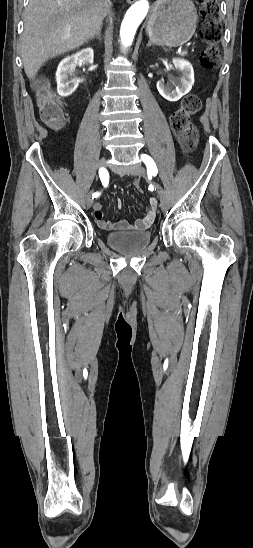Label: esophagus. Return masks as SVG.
<instances>
[{
    "instance_id": "obj_1",
    "label": "esophagus",
    "mask_w": 253,
    "mask_h": 548,
    "mask_svg": "<svg viewBox=\"0 0 253 548\" xmlns=\"http://www.w3.org/2000/svg\"><path fill=\"white\" fill-rule=\"evenodd\" d=\"M136 0H127L128 3H134Z\"/></svg>"
}]
</instances>
